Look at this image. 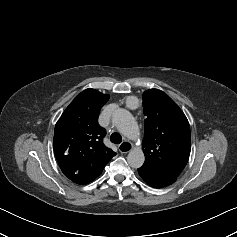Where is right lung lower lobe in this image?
<instances>
[{"mask_svg": "<svg viewBox=\"0 0 237 237\" xmlns=\"http://www.w3.org/2000/svg\"><path fill=\"white\" fill-rule=\"evenodd\" d=\"M95 178L93 179H77V180H72L73 182L77 183V184H87L89 182H91L92 180H94Z\"/></svg>", "mask_w": 237, "mask_h": 237, "instance_id": "98d812e1", "label": "right lung lower lobe"}]
</instances>
